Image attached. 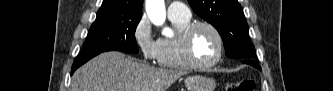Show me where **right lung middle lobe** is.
<instances>
[{"label": "right lung middle lobe", "mask_w": 333, "mask_h": 91, "mask_svg": "<svg viewBox=\"0 0 333 91\" xmlns=\"http://www.w3.org/2000/svg\"><path fill=\"white\" fill-rule=\"evenodd\" d=\"M142 16L96 17L91 26L81 54L106 51L137 53L135 31Z\"/></svg>", "instance_id": "dd1d6c3e"}]
</instances>
